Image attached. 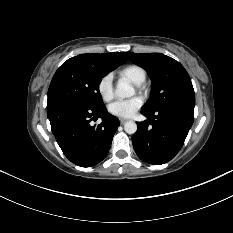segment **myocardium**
Listing matches in <instances>:
<instances>
[{
    "instance_id": "obj_1",
    "label": "myocardium",
    "mask_w": 233,
    "mask_h": 233,
    "mask_svg": "<svg viewBox=\"0 0 233 233\" xmlns=\"http://www.w3.org/2000/svg\"><path fill=\"white\" fill-rule=\"evenodd\" d=\"M138 89L139 90H143V86L140 84V85H137Z\"/></svg>"
}]
</instances>
